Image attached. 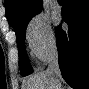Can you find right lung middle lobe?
I'll list each match as a JSON object with an SVG mask.
<instances>
[{
  "label": "right lung middle lobe",
  "mask_w": 89,
  "mask_h": 89,
  "mask_svg": "<svg viewBox=\"0 0 89 89\" xmlns=\"http://www.w3.org/2000/svg\"><path fill=\"white\" fill-rule=\"evenodd\" d=\"M32 17H29L19 22L13 28L15 30L16 37H17L18 52H19V68L22 76H27L33 72L25 48L26 27Z\"/></svg>",
  "instance_id": "obj_1"
}]
</instances>
